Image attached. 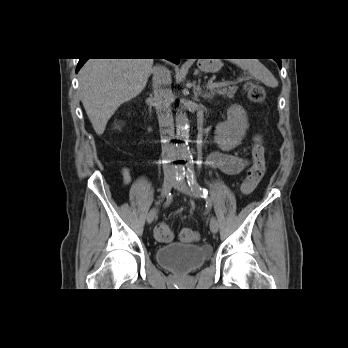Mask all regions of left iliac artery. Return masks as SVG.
Wrapping results in <instances>:
<instances>
[{"mask_svg":"<svg viewBox=\"0 0 348 348\" xmlns=\"http://www.w3.org/2000/svg\"><path fill=\"white\" fill-rule=\"evenodd\" d=\"M186 178H187V182L189 184V186L191 187V190L198 194L199 196L204 198V195H209V192L206 188L201 187L198 182H197V178H196V174L195 171L193 170V168L188 167L187 169V173H186Z\"/></svg>","mask_w":348,"mask_h":348,"instance_id":"44dca946","label":"left iliac artery"}]
</instances>
